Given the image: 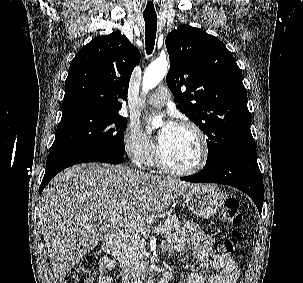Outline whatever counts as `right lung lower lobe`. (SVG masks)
Masks as SVG:
<instances>
[{
	"label": "right lung lower lobe",
	"instance_id": "98d812e1",
	"mask_svg": "<svg viewBox=\"0 0 303 283\" xmlns=\"http://www.w3.org/2000/svg\"><path fill=\"white\" fill-rule=\"evenodd\" d=\"M124 156L93 150H63L50 152L46 162V170L40 185V194L50 180L63 169L85 162H104L120 164Z\"/></svg>",
	"mask_w": 303,
	"mask_h": 283
}]
</instances>
